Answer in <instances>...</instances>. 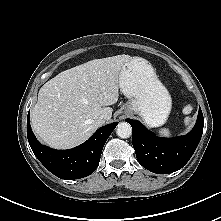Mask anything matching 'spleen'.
<instances>
[{
    "label": "spleen",
    "mask_w": 221,
    "mask_h": 221,
    "mask_svg": "<svg viewBox=\"0 0 221 221\" xmlns=\"http://www.w3.org/2000/svg\"><path fill=\"white\" fill-rule=\"evenodd\" d=\"M192 111V106L191 105H187L183 108V113L184 114H190ZM184 123L185 125H190L191 123V118L190 117H186L184 119ZM159 135L162 136V137H170L171 136V132L168 128H162L159 130Z\"/></svg>",
    "instance_id": "3e777b00"
}]
</instances>
